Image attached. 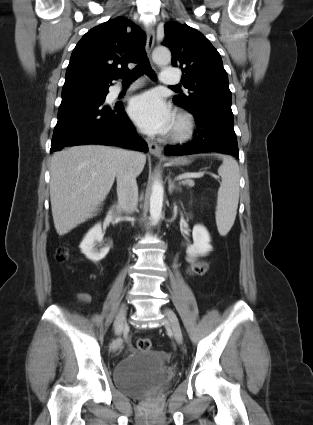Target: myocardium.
Listing matches in <instances>:
<instances>
[{"mask_svg":"<svg viewBox=\"0 0 313 425\" xmlns=\"http://www.w3.org/2000/svg\"><path fill=\"white\" fill-rule=\"evenodd\" d=\"M194 128L193 118L187 113H179L175 118L170 136L175 141H185L193 135Z\"/></svg>","mask_w":313,"mask_h":425,"instance_id":"myocardium-1","label":"myocardium"}]
</instances>
